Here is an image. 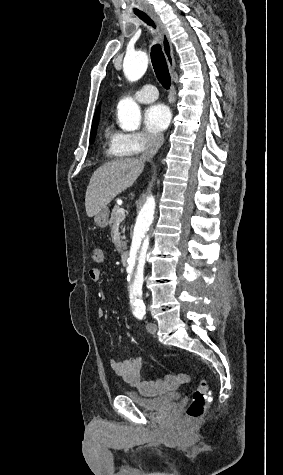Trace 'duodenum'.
<instances>
[{"label": "duodenum", "mask_w": 283, "mask_h": 475, "mask_svg": "<svg viewBox=\"0 0 283 475\" xmlns=\"http://www.w3.org/2000/svg\"><path fill=\"white\" fill-rule=\"evenodd\" d=\"M128 258H129V252L126 251V250L123 251V252L121 253V262H122L123 264H126L127 261H128Z\"/></svg>", "instance_id": "duodenum-1"}]
</instances>
